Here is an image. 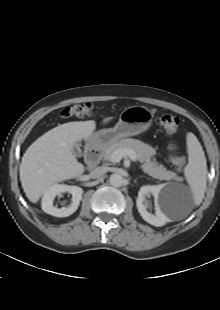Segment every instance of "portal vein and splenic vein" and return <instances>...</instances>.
I'll return each mask as SVG.
<instances>
[{"label":"portal vein and splenic vein","instance_id":"18ae733b","mask_svg":"<svg viewBox=\"0 0 220 310\" xmlns=\"http://www.w3.org/2000/svg\"><path fill=\"white\" fill-rule=\"evenodd\" d=\"M125 156H128L134 162H136L138 160V157H137L136 153L133 150H131V149H124V150L119 149V150H116L112 154L111 162L118 163Z\"/></svg>","mask_w":220,"mask_h":310}]
</instances>
